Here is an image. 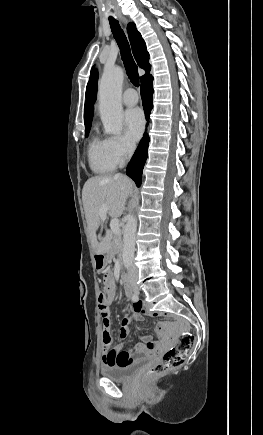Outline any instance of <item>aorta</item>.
Masks as SVG:
<instances>
[{
	"label": "aorta",
	"mask_w": 263,
	"mask_h": 435,
	"mask_svg": "<svg viewBox=\"0 0 263 435\" xmlns=\"http://www.w3.org/2000/svg\"><path fill=\"white\" fill-rule=\"evenodd\" d=\"M124 72L120 67L106 69L99 83V111L105 133L119 135L123 126V109L121 104ZM137 220L131 213L123 234L122 259L128 269L133 264Z\"/></svg>",
	"instance_id": "762f6f07"
}]
</instances>
